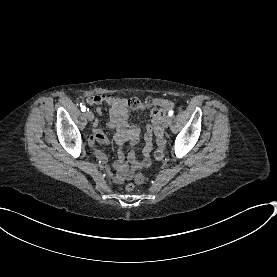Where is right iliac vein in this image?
Returning a JSON list of instances; mask_svg holds the SVG:
<instances>
[{"mask_svg": "<svg viewBox=\"0 0 277 277\" xmlns=\"http://www.w3.org/2000/svg\"><path fill=\"white\" fill-rule=\"evenodd\" d=\"M85 115H86V117H87V119H88L89 121H93V119H94V114H93L92 111L87 110L86 113H85Z\"/></svg>", "mask_w": 277, "mask_h": 277, "instance_id": "1", "label": "right iliac vein"}]
</instances>
